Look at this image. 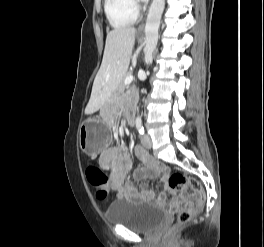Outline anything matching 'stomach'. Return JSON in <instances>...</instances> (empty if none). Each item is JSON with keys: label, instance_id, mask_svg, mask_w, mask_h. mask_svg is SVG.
<instances>
[{"label": "stomach", "instance_id": "obj_1", "mask_svg": "<svg viewBox=\"0 0 264 247\" xmlns=\"http://www.w3.org/2000/svg\"><path fill=\"white\" fill-rule=\"evenodd\" d=\"M111 129L105 118L90 117L79 128V144L82 151L97 155L110 143Z\"/></svg>", "mask_w": 264, "mask_h": 247}]
</instances>
